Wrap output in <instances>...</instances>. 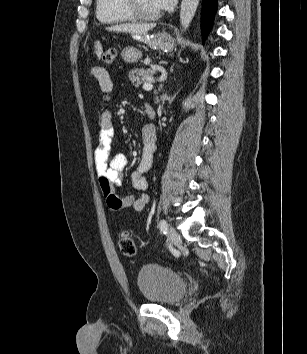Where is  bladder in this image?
<instances>
[{"mask_svg": "<svg viewBox=\"0 0 307 354\" xmlns=\"http://www.w3.org/2000/svg\"><path fill=\"white\" fill-rule=\"evenodd\" d=\"M136 282L142 297L157 304H174L187 289V283L180 274L155 263L143 265L137 273Z\"/></svg>", "mask_w": 307, "mask_h": 354, "instance_id": "obj_1", "label": "bladder"}]
</instances>
